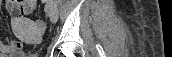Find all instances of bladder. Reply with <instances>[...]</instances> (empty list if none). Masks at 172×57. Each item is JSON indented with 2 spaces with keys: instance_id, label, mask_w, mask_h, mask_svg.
<instances>
[{
  "instance_id": "obj_1",
  "label": "bladder",
  "mask_w": 172,
  "mask_h": 57,
  "mask_svg": "<svg viewBox=\"0 0 172 57\" xmlns=\"http://www.w3.org/2000/svg\"><path fill=\"white\" fill-rule=\"evenodd\" d=\"M5 57H24V56H22V55H20V54H13V55H11V56H5Z\"/></svg>"
}]
</instances>
